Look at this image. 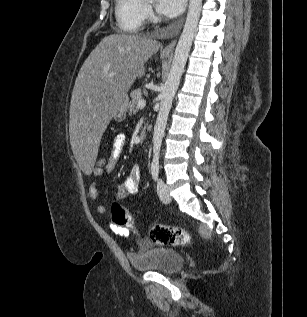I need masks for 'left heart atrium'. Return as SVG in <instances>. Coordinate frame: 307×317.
<instances>
[{"mask_svg":"<svg viewBox=\"0 0 307 317\" xmlns=\"http://www.w3.org/2000/svg\"><path fill=\"white\" fill-rule=\"evenodd\" d=\"M186 0H156L157 11L166 17L178 16L184 9Z\"/></svg>","mask_w":307,"mask_h":317,"instance_id":"39dd6f15","label":"left heart atrium"}]
</instances>
